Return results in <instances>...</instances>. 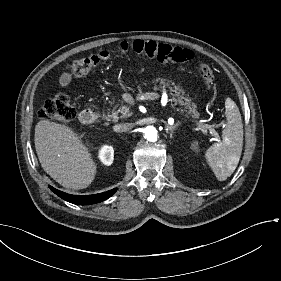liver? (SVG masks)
I'll use <instances>...</instances> for the list:
<instances>
[{"instance_id": "6515ba94", "label": "liver", "mask_w": 281, "mask_h": 281, "mask_svg": "<svg viewBox=\"0 0 281 281\" xmlns=\"http://www.w3.org/2000/svg\"><path fill=\"white\" fill-rule=\"evenodd\" d=\"M34 142L42 168L63 187L79 190L92 183L96 165L71 128L41 120Z\"/></svg>"}]
</instances>
